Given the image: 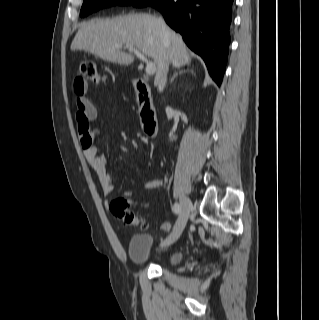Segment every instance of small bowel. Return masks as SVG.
I'll return each instance as SVG.
<instances>
[{"label":"small bowel","instance_id":"obj_1","mask_svg":"<svg viewBox=\"0 0 319 320\" xmlns=\"http://www.w3.org/2000/svg\"><path fill=\"white\" fill-rule=\"evenodd\" d=\"M76 94V106H77V120L84 115L89 122H97L99 120V115L96 107L86 98V86L74 85ZM95 136L99 133L98 128H93ZM84 156L89 163V165L94 170L98 183L101 187L102 194L104 196H109L114 190V184L107 173V159L104 155L99 152L98 146L94 143L90 145L83 144ZM163 182L161 179H152L144 183L143 188L145 190H153L162 187ZM131 192L127 191L126 195H130Z\"/></svg>","mask_w":319,"mask_h":320}]
</instances>
